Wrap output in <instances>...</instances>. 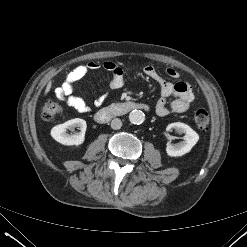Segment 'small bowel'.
Segmentation results:
<instances>
[{
    "mask_svg": "<svg viewBox=\"0 0 247 247\" xmlns=\"http://www.w3.org/2000/svg\"><path fill=\"white\" fill-rule=\"evenodd\" d=\"M100 67L112 74L109 82L110 90L115 91L123 87L124 73L119 65L112 61H106L102 65L99 62L90 61L75 67L69 72L63 84L55 89L56 97L80 112H87L89 106L82 97L75 93V84L85 77L88 72L97 70ZM143 73L159 85L160 98L155 106L156 113L159 116H166L170 113H183L190 108L194 100V93L190 84L183 81H165L152 65H146L143 68ZM166 73L173 79L178 78V72L173 68H168ZM106 96L104 94L96 99L95 105H101ZM170 99L172 100L169 101Z\"/></svg>",
    "mask_w": 247,
    "mask_h": 247,
    "instance_id": "c3829d8e",
    "label": "small bowel"
}]
</instances>
